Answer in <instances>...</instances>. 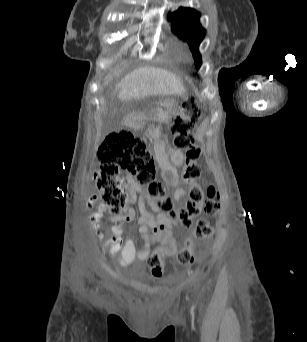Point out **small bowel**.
Listing matches in <instances>:
<instances>
[{"label": "small bowel", "instance_id": "small-bowel-1", "mask_svg": "<svg viewBox=\"0 0 307 342\" xmlns=\"http://www.w3.org/2000/svg\"><path fill=\"white\" fill-rule=\"evenodd\" d=\"M183 162V153L177 149L169 150V159L163 155L160 156V167L162 169L163 179L169 186L177 187L180 184V179L177 173L175 166L181 165ZM129 183L131 189L132 198L135 195H139L138 202V223L140 224V232L142 238L146 237L147 229H151V225H174L169 221L166 214L160 212L155 207L152 199L145 193V191L136 183V181L129 176ZM196 184L195 182L193 183ZM187 195V191L183 188H178L174 193V200L176 202L181 201ZM99 199L98 195H93L87 202V208L91 209L94 203ZM149 203L153 206L155 210L158 211L157 217L152 215L146 210V204ZM130 214L134 213L129 210ZM102 217V210H98L94 213H91L89 216L90 223L92 228L94 229L96 235L99 238H103V233L100 230V219ZM132 218V219H133ZM127 219H113L115 224L112 226V234L107 238L105 247L108 249L110 255L115 256L118 253L119 256V264L122 267H126L130 265L135 259L145 260L146 255L150 253H143V247L141 249H137L135 246V240L132 237L125 235L124 229L122 225L119 223ZM175 240V239H170ZM177 249V247H176Z\"/></svg>", "mask_w": 307, "mask_h": 342}]
</instances>
